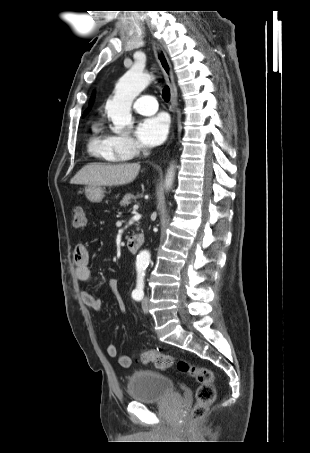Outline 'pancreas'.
Instances as JSON below:
<instances>
[{
  "mask_svg": "<svg viewBox=\"0 0 310 453\" xmlns=\"http://www.w3.org/2000/svg\"><path fill=\"white\" fill-rule=\"evenodd\" d=\"M134 199V195L133 194H126L123 199L120 201V206L122 207H126L128 206L129 204H131V200Z\"/></svg>",
  "mask_w": 310,
  "mask_h": 453,
  "instance_id": "1",
  "label": "pancreas"
}]
</instances>
